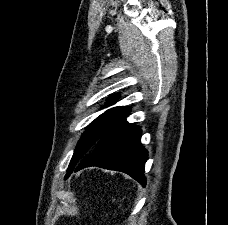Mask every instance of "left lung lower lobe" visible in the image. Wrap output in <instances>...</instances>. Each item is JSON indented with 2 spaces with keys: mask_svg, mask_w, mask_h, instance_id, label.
<instances>
[{
  "mask_svg": "<svg viewBox=\"0 0 228 225\" xmlns=\"http://www.w3.org/2000/svg\"><path fill=\"white\" fill-rule=\"evenodd\" d=\"M127 115L103 133L93 150L75 167V172L97 166L127 173L146 185L144 166L148 154L140 142L141 129L128 123Z\"/></svg>",
  "mask_w": 228,
  "mask_h": 225,
  "instance_id": "left-lung-lower-lobe-1",
  "label": "left lung lower lobe"
}]
</instances>
